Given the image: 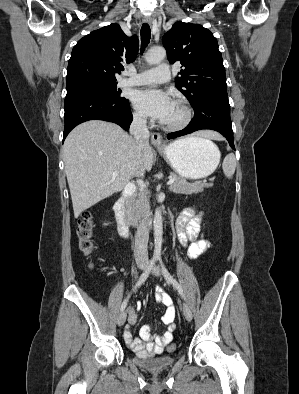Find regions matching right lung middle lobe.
I'll return each mask as SVG.
<instances>
[{"mask_svg":"<svg viewBox=\"0 0 299 394\" xmlns=\"http://www.w3.org/2000/svg\"><path fill=\"white\" fill-rule=\"evenodd\" d=\"M116 82L88 83L80 86L67 88V94L77 92H98L110 96L116 102H123L126 99L120 96V90L116 88Z\"/></svg>","mask_w":299,"mask_h":394,"instance_id":"1","label":"right lung middle lobe"}]
</instances>
